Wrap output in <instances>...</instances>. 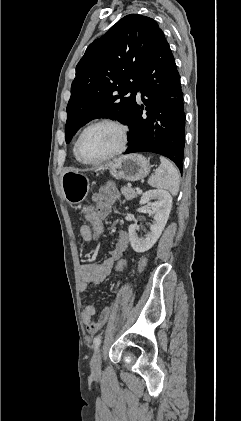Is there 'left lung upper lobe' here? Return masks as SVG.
<instances>
[{"label":"left lung upper lobe","mask_w":241,"mask_h":421,"mask_svg":"<svg viewBox=\"0 0 241 421\" xmlns=\"http://www.w3.org/2000/svg\"><path fill=\"white\" fill-rule=\"evenodd\" d=\"M160 31L152 18L130 14L88 46L71 86L66 143L80 127L96 118L130 125L138 76Z\"/></svg>","instance_id":"obj_1"}]
</instances>
